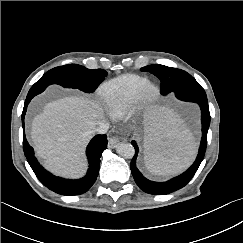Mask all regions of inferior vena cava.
<instances>
[{
  "mask_svg": "<svg viewBox=\"0 0 243 243\" xmlns=\"http://www.w3.org/2000/svg\"><path fill=\"white\" fill-rule=\"evenodd\" d=\"M109 129V124L105 121L99 123V125L94 129L97 134H105Z\"/></svg>",
  "mask_w": 243,
  "mask_h": 243,
  "instance_id": "inferior-vena-cava-1",
  "label": "inferior vena cava"
}]
</instances>
